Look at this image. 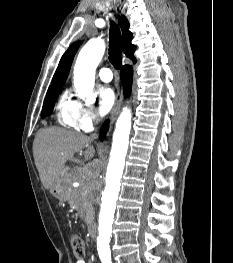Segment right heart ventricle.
Returning <instances> with one entry per match:
<instances>
[{
  "instance_id": "obj_1",
  "label": "right heart ventricle",
  "mask_w": 233,
  "mask_h": 263,
  "mask_svg": "<svg viewBox=\"0 0 233 263\" xmlns=\"http://www.w3.org/2000/svg\"><path fill=\"white\" fill-rule=\"evenodd\" d=\"M78 103L71 99L69 95L64 93L56 106V116L58 122L65 127H74V115ZM75 128V127H74Z\"/></svg>"
}]
</instances>
